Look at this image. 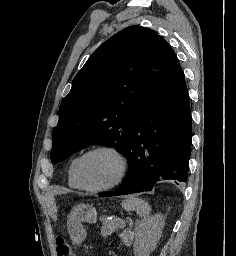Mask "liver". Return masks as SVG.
<instances>
[{
	"mask_svg": "<svg viewBox=\"0 0 236 256\" xmlns=\"http://www.w3.org/2000/svg\"><path fill=\"white\" fill-rule=\"evenodd\" d=\"M45 200H46L49 216H51V218H56L55 214H56L57 208L54 202V194H50V192H47Z\"/></svg>",
	"mask_w": 236,
	"mask_h": 256,
	"instance_id": "obj_1",
	"label": "liver"
}]
</instances>
